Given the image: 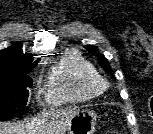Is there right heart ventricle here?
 I'll use <instances>...</instances> for the list:
<instances>
[{
	"label": "right heart ventricle",
	"instance_id": "obj_1",
	"mask_svg": "<svg viewBox=\"0 0 153 134\" xmlns=\"http://www.w3.org/2000/svg\"><path fill=\"white\" fill-rule=\"evenodd\" d=\"M99 73L78 52L68 51L52 67L46 85V100L52 105L80 103L100 95Z\"/></svg>",
	"mask_w": 153,
	"mask_h": 134
}]
</instances>
